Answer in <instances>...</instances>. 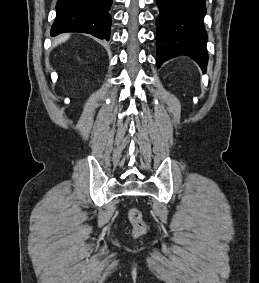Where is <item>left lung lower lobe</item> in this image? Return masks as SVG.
Returning <instances> with one entry per match:
<instances>
[{
	"mask_svg": "<svg viewBox=\"0 0 259 283\" xmlns=\"http://www.w3.org/2000/svg\"><path fill=\"white\" fill-rule=\"evenodd\" d=\"M157 67L185 55L206 71L208 54L204 28L205 0H157Z\"/></svg>",
	"mask_w": 259,
	"mask_h": 283,
	"instance_id": "obj_1",
	"label": "left lung lower lobe"
}]
</instances>
